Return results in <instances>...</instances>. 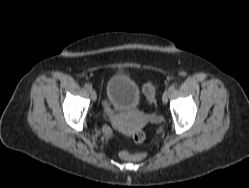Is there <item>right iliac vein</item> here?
I'll return each mask as SVG.
<instances>
[{
	"mask_svg": "<svg viewBox=\"0 0 249 188\" xmlns=\"http://www.w3.org/2000/svg\"><path fill=\"white\" fill-rule=\"evenodd\" d=\"M89 93H90V97H91L92 101H95L97 98L95 90L93 88H91L89 90Z\"/></svg>",
	"mask_w": 249,
	"mask_h": 188,
	"instance_id": "obj_1",
	"label": "right iliac vein"
}]
</instances>
